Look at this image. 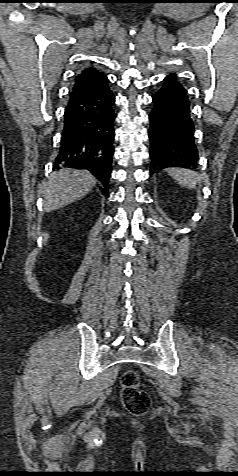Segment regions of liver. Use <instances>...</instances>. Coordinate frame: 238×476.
I'll use <instances>...</instances> for the list:
<instances>
[{
  "label": "liver",
  "instance_id": "liver-1",
  "mask_svg": "<svg viewBox=\"0 0 238 476\" xmlns=\"http://www.w3.org/2000/svg\"><path fill=\"white\" fill-rule=\"evenodd\" d=\"M96 178L86 170L63 168L45 185V211H54L83 198L95 186Z\"/></svg>",
  "mask_w": 238,
  "mask_h": 476
}]
</instances>
